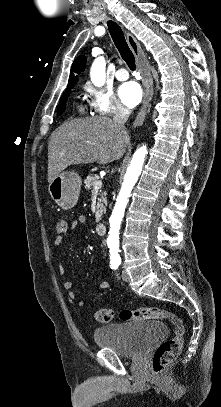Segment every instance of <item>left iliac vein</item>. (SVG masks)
Here are the masks:
<instances>
[{
    "label": "left iliac vein",
    "instance_id": "4c4485c4",
    "mask_svg": "<svg viewBox=\"0 0 221 407\" xmlns=\"http://www.w3.org/2000/svg\"><path fill=\"white\" fill-rule=\"evenodd\" d=\"M122 279L125 282H128L130 279L129 274L125 270L122 271Z\"/></svg>",
    "mask_w": 221,
    "mask_h": 407
}]
</instances>
